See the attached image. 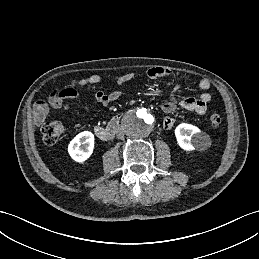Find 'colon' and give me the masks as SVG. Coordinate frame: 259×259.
Returning <instances> with one entry per match:
<instances>
[{
    "instance_id": "obj_1",
    "label": "colon",
    "mask_w": 259,
    "mask_h": 259,
    "mask_svg": "<svg viewBox=\"0 0 259 259\" xmlns=\"http://www.w3.org/2000/svg\"><path fill=\"white\" fill-rule=\"evenodd\" d=\"M73 86V83H70ZM72 90V88H67V91ZM221 116L218 113H212L209 117L210 125L214 128L221 124ZM64 131V126L58 121H49L41 126L42 139L45 144L53 145L59 141Z\"/></svg>"
}]
</instances>
